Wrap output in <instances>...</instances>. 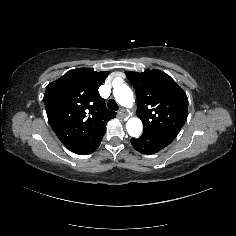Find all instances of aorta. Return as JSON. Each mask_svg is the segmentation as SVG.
<instances>
[{
    "label": "aorta",
    "instance_id": "obj_1",
    "mask_svg": "<svg viewBox=\"0 0 236 236\" xmlns=\"http://www.w3.org/2000/svg\"><path fill=\"white\" fill-rule=\"evenodd\" d=\"M116 101L127 108H131L134 102L132 90L125 84L114 88L113 91ZM126 129L130 136L139 137L142 133L143 125L140 119L131 118L126 123Z\"/></svg>",
    "mask_w": 236,
    "mask_h": 236
}]
</instances>
